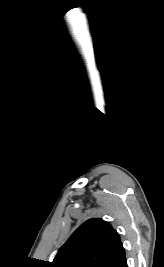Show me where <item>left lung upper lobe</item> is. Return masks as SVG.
I'll return each mask as SVG.
<instances>
[{"label":"left lung upper lobe","instance_id":"5c2ea615","mask_svg":"<svg viewBox=\"0 0 164 267\" xmlns=\"http://www.w3.org/2000/svg\"><path fill=\"white\" fill-rule=\"evenodd\" d=\"M121 246L108 222L89 219L59 249L50 267H105Z\"/></svg>","mask_w":164,"mask_h":267}]
</instances>
